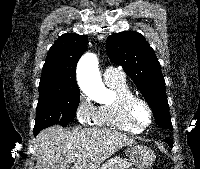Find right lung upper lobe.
Segmentation results:
<instances>
[{"instance_id":"right-lung-upper-lobe-1","label":"right lung upper lobe","mask_w":200,"mask_h":169,"mask_svg":"<svg viewBox=\"0 0 200 169\" xmlns=\"http://www.w3.org/2000/svg\"><path fill=\"white\" fill-rule=\"evenodd\" d=\"M88 44L86 35L67 33L60 36L49 49L39 84L40 95L80 92L76 65Z\"/></svg>"}]
</instances>
